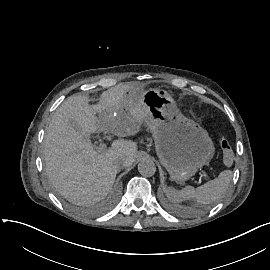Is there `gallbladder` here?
Returning <instances> with one entry per match:
<instances>
[{
    "label": "gallbladder",
    "mask_w": 270,
    "mask_h": 270,
    "mask_svg": "<svg viewBox=\"0 0 270 270\" xmlns=\"http://www.w3.org/2000/svg\"><path fill=\"white\" fill-rule=\"evenodd\" d=\"M70 124L73 126V128H74L75 130H77V131L79 130V127H77L76 125H74L73 122H70Z\"/></svg>",
    "instance_id": "obj_1"
}]
</instances>
